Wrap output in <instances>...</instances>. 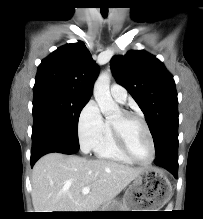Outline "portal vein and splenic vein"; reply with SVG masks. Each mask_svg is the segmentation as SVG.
Returning <instances> with one entry per match:
<instances>
[{
  "label": "portal vein and splenic vein",
  "instance_id": "portal-vein-and-splenic-vein-1",
  "mask_svg": "<svg viewBox=\"0 0 203 219\" xmlns=\"http://www.w3.org/2000/svg\"><path fill=\"white\" fill-rule=\"evenodd\" d=\"M90 192V187L89 186H86L82 189V194H88Z\"/></svg>",
  "mask_w": 203,
  "mask_h": 219
}]
</instances>
